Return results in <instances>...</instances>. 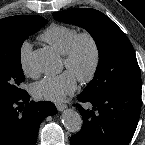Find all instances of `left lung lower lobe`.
I'll return each instance as SVG.
<instances>
[{
    "label": "left lung lower lobe",
    "mask_w": 145,
    "mask_h": 145,
    "mask_svg": "<svg viewBox=\"0 0 145 145\" xmlns=\"http://www.w3.org/2000/svg\"><path fill=\"white\" fill-rule=\"evenodd\" d=\"M76 104L82 118L81 130L71 136V145H128L141 112V87L115 90L103 95L80 93Z\"/></svg>",
    "instance_id": "0a47b994"
}]
</instances>
